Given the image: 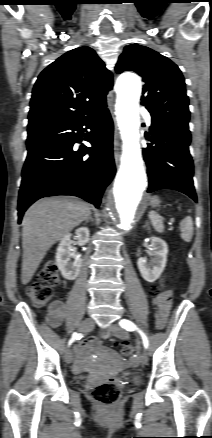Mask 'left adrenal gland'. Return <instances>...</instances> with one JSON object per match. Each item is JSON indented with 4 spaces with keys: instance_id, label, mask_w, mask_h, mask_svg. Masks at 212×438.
I'll return each mask as SVG.
<instances>
[{
    "instance_id": "a2214340",
    "label": "left adrenal gland",
    "mask_w": 212,
    "mask_h": 438,
    "mask_svg": "<svg viewBox=\"0 0 212 438\" xmlns=\"http://www.w3.org/2000/svg\"><path fill=\"white\" fill-rule=\"evenodd\" d=\"M145 226H148V222H146Z\"/></svg>"
}]
</instances>
